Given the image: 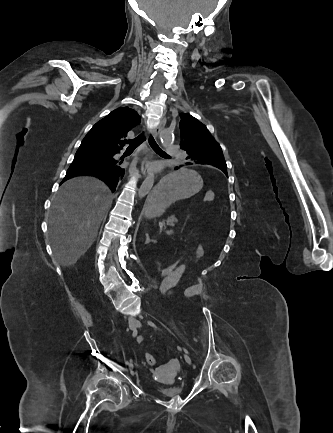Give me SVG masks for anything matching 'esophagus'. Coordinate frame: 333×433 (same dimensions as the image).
Segmentation results:
<instances>
[{
    "label": "esophagus",
    "mask_w": 333,
    "mask_h": 433,
    "mask_svg": "<svg viewBox=\"0 0 333 433\" xmlns=\"http://www.w3.org/2000/svg\"><path fill=\"white\" fill-rule=\"evenodd\" d=\"M163 126H164V123L162 121L159 126L154 128V130H153L154 138H158L160 131L162 130ZM152 158H153V152L149 151L148 156L143 161L142 168H141V172H142L144 177H146L151 172L150 161L152 160Z\"/></svg>",
    "instance_id": "esophagus-1"
}]
</instances>
